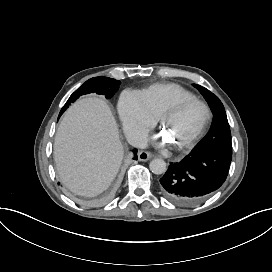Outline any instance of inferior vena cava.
<instances>
[{"instance_id":"obj_1","label":"inferior vena cava","mask_w":272,"mask_h":272,"mask_svg":"<svg viewBox=\"0 0 272 272\" xmlns=\"http://www.w3.org/2000/svg\"><path fill=\"white\" fill-rule=\"evenodd\" d=\"M128 143L137 148L147 147V136L144 133H139L137 135H132L127 138Z\"/></svg>"}]
</instances>
